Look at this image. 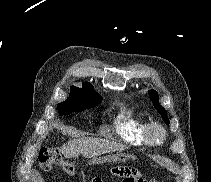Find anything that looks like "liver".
I'll list each match as a JSON object with an SVG mask.
<instances>
[{
	"label": "liver",
	"mask_w": 211,
	"mask_h": 182,
	"mask_svg": "<svg viewBox=\"0 0 211 182\" xmlns=\"http://www.w3.org/2000/svg\"><path fill=\"white\" fill-rule=\"evenodd\" d=\"M126 149L125 145L107 139L82 137L63 144L60 151L65 158H75L80 154L85 158H95L105 153Z\"/></svg>",
	"instance_id": "liver-1"
}]
</instances>
